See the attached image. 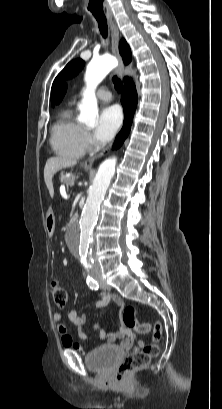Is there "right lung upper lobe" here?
Masks as SVG:
<instances>
[{
	"label": "right lung upper lobe",
	"mask_w": 222,
	"mask_h": 409,
	"mask_svg": "<svg viewBox=\"0 0 222 409\" xmlns=\"http://www.w3.org/2000/svg\"><path fill=\"white\" fill-rule=\"evenodd\" d=\"M119 50H120V54L123 58V61L125 64H128L131 61V51L129 48V45L126 43V41L124 39L121 40L120 45H119ZM67 86L65 84H63L62 86H60L57 96H56V103L58 104L65 92H66Z\"/></svg>",
	"instance_id": "obj_1"
}]
</instances>
